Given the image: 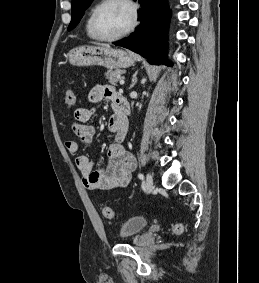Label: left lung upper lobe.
<instances>
[{
    "label": "left lung upper lobe",
    "mask_w": 259,
    "mask_h": 283,
    "mask_svg": "<svg viewBox=\"0 0 259 283\" xmlns=\"http://www.w3.org/2000/svg\"><path fill=\"white\" fill-rule=\"evenodd\" d=\"M91 1L92 0H72V19L68 30L73 29L78 24Z\"/></svg>",
    "instance_id": "left-lung-upper-lobe-1"
}]
</instances>
